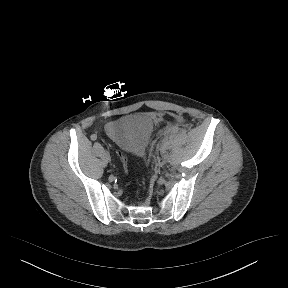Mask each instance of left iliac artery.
Returning a JSON list of instances; mask_svg holds the SVG:
<instances>
[{
	"label": "left iliac artery",
	"instance_id": "left-iliac-artery-1",
	"mask_svg": "<svg viewBox=\"0 0 288 288\" xmlns=\"http://www.w3.org/2000/svg\"><path fill=\"white\" fill-rule=\"evenodd\" d=\"M168 142V137H165L162 141L161 149L163 150Z\"/></svg>",
	"mask_w": 288,
	"mask_h": 288
}]
</instances>
